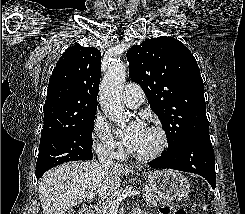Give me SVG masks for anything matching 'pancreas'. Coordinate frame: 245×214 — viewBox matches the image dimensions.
Listing matches in <instances>:
<instances>
[{"instance_id": "1", "label": "pancreas", "mask_w": 245, "mask_h": 214, "mask_svg": "<svg viewBox=\"0 0 245 214\" xmlns=\"http://www.w3.org/2000/svg\"><path fill=\"white\" fill-rule=\"evenodd\" d=\"M142 192H143L142 197L144 198L147 204H152L154 206L166 204V201H163V199L159 195L155 194L152 191V189H150L149 187H144L142 189ZM123 193L124 191L123 192L120 191L116 195L112 196L111 199H116L118 196H120ZM98 213L99 214H114L109 204H102L98 209Z\"/></svg>"}]
</instances>
